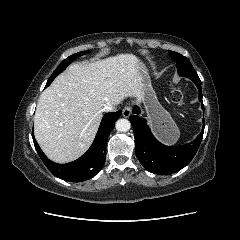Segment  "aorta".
<instances>
[{"label": "aorta", "instance_id": "obj_1", "mask_svg": "<svg viewBox=\"0 0 240 240\" xmlns=\"http://www.w3.org/2000/svg\"><path fill=\"white\" fill-rule=\"evenodd\" d=\"M115 128L118 132H127L131 128V123L127 119H119L115 124Z\"/></svg>", "mask_w": 240, "mask_h": 240}]
</instances>
